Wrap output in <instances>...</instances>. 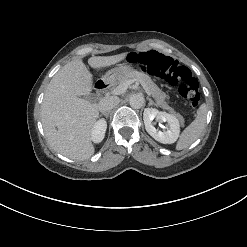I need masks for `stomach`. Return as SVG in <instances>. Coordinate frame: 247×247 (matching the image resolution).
Masks as SVG:
<instances>
[{
	"label": "stomach",
	"mask_w": 247,
	"mask_h": 247,
	"mask_svg": "<svg viewBox=\"0 0 247 247\" xmlns=\"http://www.w3.org/2000/svg\"><path fill=\"white\" fill-rule=\"evenodd\" d=\"M136 72V73H141L136 70H133L130 68L128 65H120L118 67H115L108 71L105 76H104V81L108 84L114 85L118 84L120 79L128 72Z\"/></svg>",
	"instance_id": "0dacf381"
}]
</instances>
